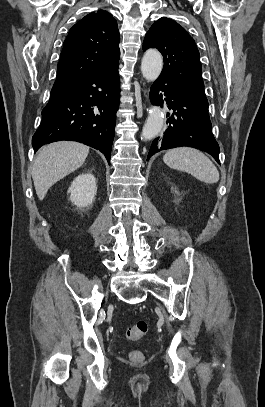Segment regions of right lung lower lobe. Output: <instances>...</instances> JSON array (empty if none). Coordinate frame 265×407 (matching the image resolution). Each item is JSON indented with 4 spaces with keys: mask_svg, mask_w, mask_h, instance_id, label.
<instances>
[{
    "mask_svg": "<svg viewBox=\"0 0 265 407\" xmlns=\"http://www.w3.org/2000/svg\"><path fill=\"white\" fill-rule=\"evenodd\" d=\"M118 67L116 63L51 91L32 138L34 152L47 143L73 140L101 151L110 164L120 97Z\"/></svg>",
    "mask_w": 265,
    "mask_h": 407,
    "instance_id": "1",
    "label": "right lung lower lobe"
}]
</instances>
